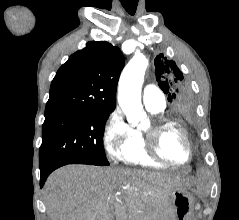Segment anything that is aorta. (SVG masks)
I'll return each instance as SVG.
<instances>
[{"mask_svg":"<svg viewBox=\"0 0 239 220\" xmlns=\"http://www.w3.org/2000/svg\"><path fill=\"white\" fill-rule=\"evenodd\" d=\"M148 60L143 55L134 56L124 68L119 82L118 102L132 125H137L146 114L141 103V88Z\"/></svg>","mask_w":239,"mask_h":220,"instance_id":"762f6f07","label":"aorta"}]
</instances>
